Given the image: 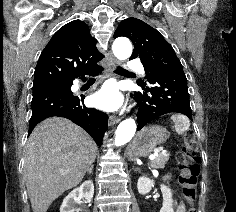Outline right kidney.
<instances>
[{"mask_svg": "<svg viewBox=\"0 0 236 212\" xmlns=\"http://www.w3.org/2000/svg\"><path fill=\"white\" fill-rule=\"evenodd\" d=\"M94 195V185L91 180L83 182L80 187L71 191L63 200L60 212H75V205L82 198L91 200Z\"/></svg>", "mask_w": 236, "mask_h": 212, "instance_id": "obj_1", "label": "right kidney"}]
</instances>
